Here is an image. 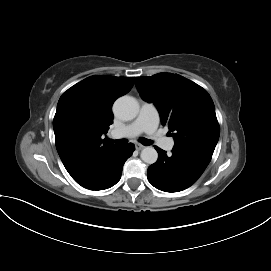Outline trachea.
I'll use <instances>...</instances> for the list:
<instances>
[{"instance_id": "1", "label": "trachea", "mask_w": 271, "mask_h": 271, "mask_svg": "<svg viewBox=\"0 0 271 271\" xmlns=\"http://www.w3.org/2000/svg\"><path fill=\"white\" fill-rule=\"evenodd\" d=\"M113 142L116 143V144H125L128 141L126 139H120V140H113ZM139 142L142 143L145 146H149V145L152 144V141L149 140V139H146V138H140Z\"/></svg>"}]
</instances>
